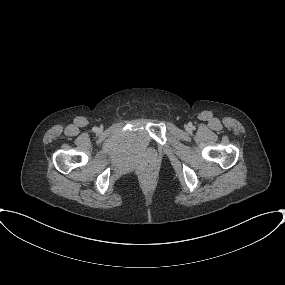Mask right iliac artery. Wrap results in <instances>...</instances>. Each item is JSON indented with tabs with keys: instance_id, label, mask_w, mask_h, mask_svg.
<instances>
[{
	"instance_id": "obj_1",
	"label": "right iliac artery",
	"mask_w": 285,
	"mask_h": 285,
	"mask_svg": "<svg viewBox=\"0 0 285 285\" xmlns=\"http://www.w3.org/2000/svg\"><path fill=\"white\" fill-rule=\"evenodd\" d=\"M94 132H97L98 131V128L97 127H93L92 129Z\"/></svg>"
}]
</instances>
